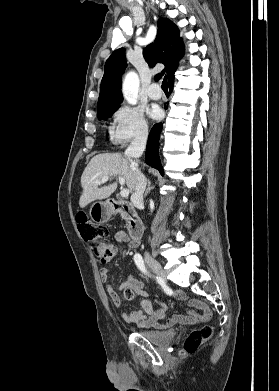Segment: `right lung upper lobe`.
I'll return each instance as SVG.
<instances>
[{
	"mask_svg": "<svg viewBox=\"0 0 279 391\" xmlns=\"http://www.w3.org/2000/svg\"><path fill=\"white\" fill-rule=\"evenodd\" d=\"M158 32L154 43L149 44L143 50L146 62L153 67L156 63L165 65L162 75L166 73L169 83L174 81V73L178 67V60L184 54V45L180 38L177 26L167 18L158 20ZM127 66L125 50H115L107 59L104 68V76L101 81L100 95L98 99V113L113 107H118L122 102L121 75ZM157 75L155 78H160Z\"/></svg>",
	"mask_w": 279,
	"mask_h": 391,
	"instance_id": "cb5924a9",
	"label": "right lung upper lobe"
}]
</instances>
